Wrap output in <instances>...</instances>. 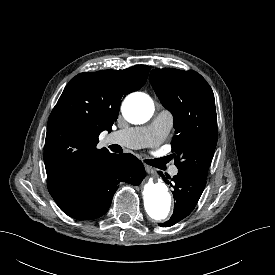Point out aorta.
I'll return each mask as SVG.
<instances>
[{
	"label": "aorta",
	"instance_id": "aorta-1",
	"mask_svg": "<svg viewBox=\"0 0 275 275\" xmlns=\"http://www.w3.org/2000/svg\"><path fill=\"white\" fill-rule=\"evenodd\" d=\"M154 102L144 93L132 94L122 104V114L132 124H143L153 115ZM144 207L154 220H164L172 209V198L167 186L159 178H150L143 187Z\"/></svg>",
	"mask_w": 275,
	"mask_h": 275
}]
</instances>
